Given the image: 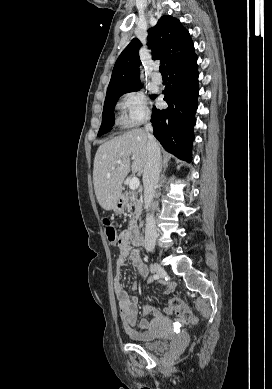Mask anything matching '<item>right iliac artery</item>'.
<instances>
[{"label": "right iliac artery", "mask_w": 272, "mask_h": 389, "mask_svg": "<svg viewBox=\"0 0 272 389\" xmlns=\"http://www.w3.org/2000/svg\"><path fill=\"white\" fill-rule=\"evenodd\" d=\"M159 278V276L157 275V274H154V275H152L150 278H149V280L150 281H153V280H157Z\"/></svg>", "instance_id": "82829eb1"}]
</instances>
